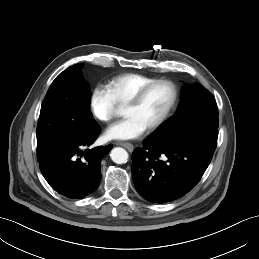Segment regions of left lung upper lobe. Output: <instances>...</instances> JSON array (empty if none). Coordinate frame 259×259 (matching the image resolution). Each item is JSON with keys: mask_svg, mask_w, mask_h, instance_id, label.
<instances>
[{"mask_svg": "<svg viewBox=\"0 0 259 259\" xmlns=\"http://www.w3.org/2000/svg\"><path fill=\"white\" fill-rule=\"evenodd\" d=\"M177 114L160 126L150 138L170 142L186 132L204 128L218 129V108L211 93L198 83L184 88Z\"/></svg>", "mask_w": 259, "mask_h": 259, "instance_id": "1", "label": "left lung upper lobe"}]
</instances>
